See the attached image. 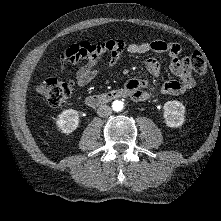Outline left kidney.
I'll list each match as a JSON object with an SVG mask.
<instances>
[{"instance_id":"obj_1","label":"left kidney","mask_w":221,"mask_h":221,"mask_svg":"<svg viewBox=\"0 0 221 221\" xmlns=\"http://www.w3.org/2000/svg\"><path fill=\"white\" fill-rule=\"evenodd\" d=\"M163 116L168 127L177 128L185 121V106L179 101H167L163 106Z\"/></svg>"}]
</instances>
